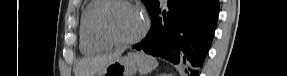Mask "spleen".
<instances>
[{"instance_id":"obj_1","label":"spleen","mask_w":287,"mask_h":76,"mask_svg":"<svg viewBox=\"0 0 287 76\" xmlns=\"http://www.w3.org/2000/svg\"><path fill=\"white\" fill-rule=\"evenodd\" d=\"M129 56L137 62L141 75L148 74L158 66V61L150 55L144 53H131Z\"/></svg>"}]
</instances>
